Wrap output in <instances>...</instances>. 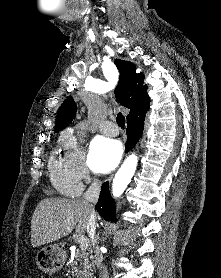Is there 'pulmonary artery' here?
Instances as JSON below:
<instances>
[{
  "instance_id": "obj_1",
  "label": "pulmonary artery",
  "mask_w": 221,
  "mask_h": 278,
  "mask_svg": "<svg viewBox=\"0 0 221 278\" xmlns=\"http://www.w3.org/2000/svg\"><path fill=\"white\" fill-rule=\"evenodd\" d=\"M101 131L105 135H110V136H116L119 133L118 127L114 125L111 121H106L102 126H101Z\"/></svg>"
}]
</instances>
